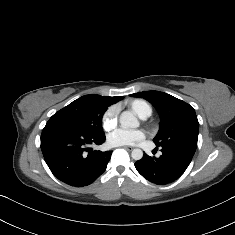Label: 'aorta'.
<instances>
[{"instance_id": "1", "label": "aorta", "mask_w": 235, "mask_h": 235, "mask_svg": "<svg viewBox=\"0 0 235 235\" xmlns=\"http://www.w3.org/2000/svg\"><path fill=\"white\" fill-rule=\"evenodd\" d=\"M119 120L123 129L137 128L140 125L138 119L129 111L122 112ZM131 157L134 160H140L143 157V151L138 148L133 149L131 152Z\"/></svg>"}]
</instances>
